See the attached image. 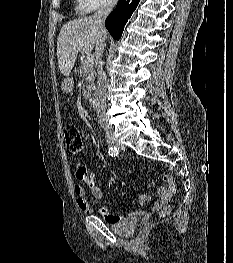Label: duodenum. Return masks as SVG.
I'll return each instance as SVG.
<instances>
[{
	"label": "duodenum",
	"instance_id": "duodenum-1",
	"mask_svg": "<svg viewBox=\"0 0 233 263\" xmlns=\"http://www.w3.org/2000/svg\"><path fill=\"white\" fill-rule=\"evenodd\" d=\"M94 86H95V81L87 79L84 89L86 90V93L89 94V100L92 107L96 109L98 106L99 99H98V95H92L95 93Z\"/></svg>",
	"mask_w": 233,
	"mask_h": 263
}]
</instances>
